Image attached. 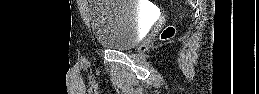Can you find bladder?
Returning a JSON list of instances; mask_svg holds the SVG:
<instances>
[{
    "label": "bladder",
    "instance_id": "1",
    "mask_svg": "<svg viewBox=\"0 0 259 94\" xmlns=\"http://www.w3.org/2000/svg\"><path fill=\"white\" fill-rule=\"evenodd\" d=\"M88 15L94 37L104 49L130 50L141 41L146 19L135 0H93Z\"/></svg>",
    "mask_w": 259,
    "mask_h": 94
}]
</instances>
